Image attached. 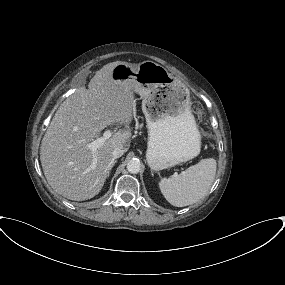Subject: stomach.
<instances>
[{
	"label": "stomach",
	"instance_id": "1",
	"mask_svg": "<svg viewBox=\"0 0 285 285\" xmlns=\"http://www.w3.org/2000/svg\"><path fill=\"white\" fill-rule=\"evenodd\" d=\"M111 77L130 82L142 98L148 128L147 163L160 171L186 162L200 153L201 136L192 114L188 88L166 68L144 61L120 63Z\"/></svg>",
	"mask_w": 285,
	"mask_h": 285
}]
</instances>
